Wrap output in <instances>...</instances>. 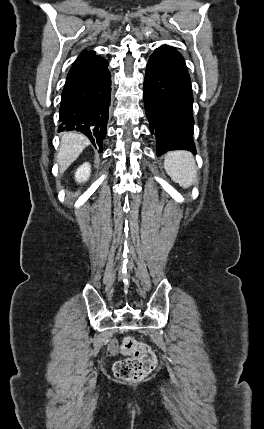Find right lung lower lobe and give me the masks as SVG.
Returning <instances> with one entry per match:
<instances>
[{
  "instance_id": "right-lung-lower-lobe-1",
  "label": "right lung lower lobe",
  "mask_w": 264,
  "mask_h": 429,
  "mask_svg": "<svg viewBox=\"0 0 264 429\" xmlns=\"http://www.w3.org/2000/svg\"><path fill=\"white\" fill-rule=\"evenodd\" d=\"M108 62L90 51L75 61L62 92L59 132H82L101 152L111 96Z\"/></svg>"
}]
</instances>
